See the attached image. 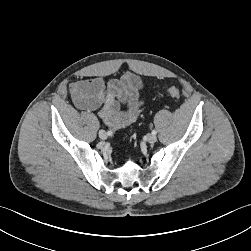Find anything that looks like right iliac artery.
Here are the masks:
<instances>
[{
    "mask_svg": "<svg viewBox=\"0 0 251 251\" xmlns=\"http://www.w3.org/2000/svg\"><path fill=\"white\" fill-rule=\"evenodd\" d=\"M107 134H108V135H112V131H108Z\"/></svg>",
    "mask_w": 251,
    "mask_h": 251,
    "instance_id": "obj_1",
    "label": "right iliac artery"
}]
</instances>
